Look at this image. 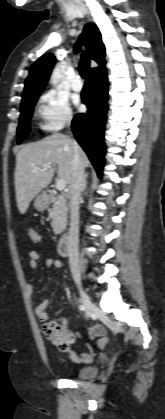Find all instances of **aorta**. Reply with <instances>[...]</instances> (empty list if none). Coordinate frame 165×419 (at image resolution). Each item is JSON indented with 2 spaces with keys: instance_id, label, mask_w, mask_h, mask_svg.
<instances>
[{
  "instance_id": "762f6f07",
  "label": "aorta",
  "mask_w": 165,
  "mask_h": 419,
  "mask_svg": "<svg viewBox=\"0 0 165 419\" xmlns=\"http://www.w3.org/2000/svg\"><path fill=\"white\" fill-rule=\"evenodd\" d=\"M65 69V63H60L55 66L52 75H51V83L53 86L57 87L61 79L63 78V73Z\"/></svg>"
}]
</instances>
